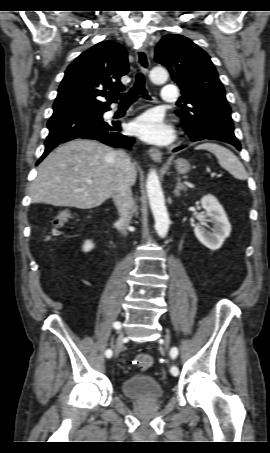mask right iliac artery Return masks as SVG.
Wrapping results in <instances>:
<instances>
[{"label": "right iliac artery", "instance_id": "right-iliac-artery-1", "mask_svg": "<svg viewBox=\"0 0 270 453\" xmlns=\"http://www.w3.org/2000/svg\"><path fill=\"white\" fill-rule=\"evenodd\" d=\"M113 327L115 329H120V327H121L120 322H115L113 324ZM105 355H106L107 358H110L112 356V350L111 349H107L106 352H105Z\"/></svg>", "mask_w": 270, "mask_h": 453}]
</instances>
